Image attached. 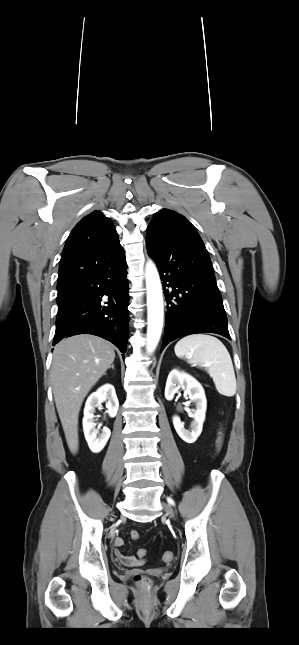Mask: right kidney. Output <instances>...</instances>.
Wrapping results in <instances>:
<instances>
[{
    "instance_id": "ca27d5eb",
    "label": "right kidney",
    "mask_w": 299,
    "mask_h": 645,
    "mask_svg": "<svg viewBox=\"0 0 299 645\" xmlns=\"http://www.w3.org/2000/svg\"><path fill=\"white\" fill-rule=\"evenodd\" d=\"M107 401L106 408L110 417H115L119 408V402L112 385L106 384L100 387L96 392L92 393L85 404L84 417H83V430L85 439L88 443L90 450L94 453H99L106 445L111 431L109 428L104 427L102 432L96 429L94 420L95 408L99 407L101 403Z\"/></svg>"
}]
</instances>
